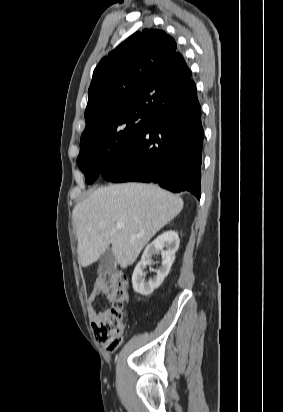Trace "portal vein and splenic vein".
Returning a JSON list of instances; mask_svg holds the SVG:
<instances>
[{"label":"portal vein and splenic vein","instance_id":"1","mask_svg":"<svg viewBox=\"0 0 283 412\" xmlns=\"http://www.w3.org/2000/svg\"><path fill=\"white\" fill-rule=\"evenodd\" d=\"M123 224L122 223H117V228H122Z\"/></svg>","mask_w":283,"mask_h":412}]
</instances>
